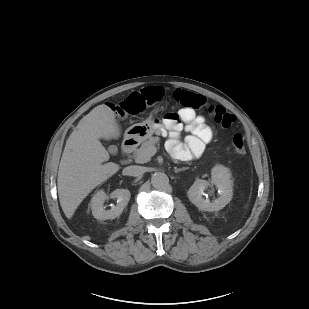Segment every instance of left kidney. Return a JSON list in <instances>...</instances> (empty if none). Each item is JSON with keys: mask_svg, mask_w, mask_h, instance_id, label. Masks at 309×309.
Returning <instances> with one entry per match:
<instances>
[{"mask_svg": "<svg viewBox=\"0 0 309 309\" xmlns=\"http://www.w3.org/2000/svg\"><path fill=\"white\" fill-rule=\"evenodd\" d=\"M211 184L218 189L219 197L212 202L204 199V191L210 186L206 180L197 179L189 188L188 198L198 209L208 212L223 209L232 199L231 172L227 167L216 165L211 170Z\"/></svg>", "mask_w": 309, "mask_h": 309, "instance_id": "obj_1", "label": "left kidney"}]
</instances>
